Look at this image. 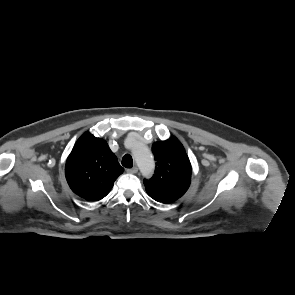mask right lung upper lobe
<instances>
[{"mask_svg":"<svg viewBox=\"0 0 295 295\" xmlns=\"http://www.w3.org/2000/svg\"><path fill=\"white\" fill-rule=\"evenodd\" d=\"M123 171L107 142L90 133L77 140L65 166L72 191L89 201L104 198Z\"/></svg>","mask_w":295,"mask_h":295,"instance_id":"right-lung-upper-lobe-1","label":"right lung upper lobe"}]
</instances>
